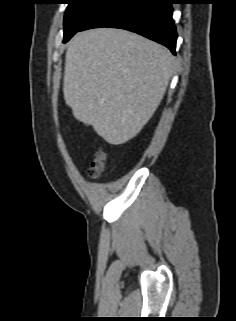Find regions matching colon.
Instances as JSON below:
<instances>
[{
  "mask_svg": "<svg viewBox=\"0 0 236 321\" xmlns=\"http://www.w3.org/2000/svg\"><path fill=\"white\" fill-rule=\"evenodd\" d=\"M108 162V156L103 150H98L91 162L90 168L87 172L88 177L97 178L105 170Z\"/></svg>",
  "mask_w": 236,
  "mask_h": 321,
  "instance_id": "colon-1",
  "label": "colon"
}]
</instances>
